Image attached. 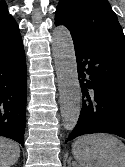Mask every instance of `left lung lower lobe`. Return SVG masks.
Instances as JSON below:
<instances>
[{
    "instance_id": "1",
    "label": "left lung lower lobe",
    "mask_w": 125,
    "mask_h": 167,
    "mask_svg": "<svg viewBox=\"0 0 125 167\" xmlns=\"http://www.w3.org/2000/svg\"><path fill=\"white\" fill-rule=\"evenodd\" d=\"M73 42L83 103L67 141L97 132L125 138V45L112 38Z\"/></svg>"
}]
</instances>
